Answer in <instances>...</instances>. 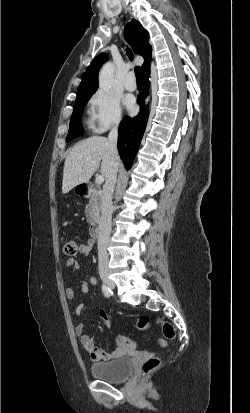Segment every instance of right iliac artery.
<instances>
[{
    "instance_id": "1",
    "label": "right iliac artery",
    "mask_w": 250,
    "mask_h": 413,
    "mask_svg": "<svg viewBox=\"0 0 250 413\" xmlns=\"http://www.w3.org/2000/svg\"><path fill=\"white\" fill-rule=\"evenodd\" d=\"M102 291H103V293L106 297H110V295L112 293L111 290L109 289V287L106 284H102Z\"/></svg>"
}]
</instances>
